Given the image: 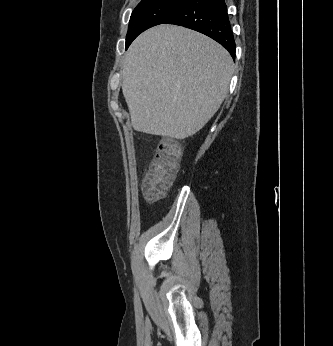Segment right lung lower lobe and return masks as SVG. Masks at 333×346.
<instances>
[{"instance_id": "obj_1", "label": "right lung lower lobe", "mask_w": 333, "mask_h": 346, "mask_svg": "<svg viewBox=\"0 0 333 346\" xmlns=\"http://www.w3.org/2000/svg\"><path fill=\"white\" fill-rule=\"evenodd\" d=\"M163 24L203 33L224 46L235 59V40L225 0H185Z\"/></svg>"}]
</instances>
